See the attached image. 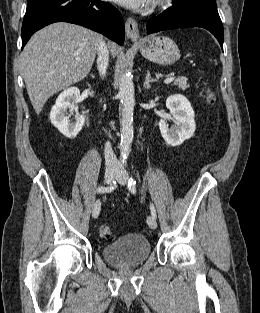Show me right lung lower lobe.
<instances>
[{"label": "right lung lower lobe", "instance_id": "98d812e1", "mask_svg": "<svg viewBox=\"0 0 260 313\" xmlns=\"http://www.w3.org/2000/svg\"><path fill=\"white\" fill-rule=\"evenodd\" d=\"M65 21L102 33L118 44L124 41V23L110 3L98 0H27L22 24V48L37 30Z\"/></svg>", "mask_w": 260, "mask_h": 313}]
</instances>
